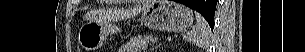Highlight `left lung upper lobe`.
I'll return each instance as SVG.
<instances>
[{
    "instance_id": "1",
    "label": "left lung upper lobe",
    "mask_w": 305,
    "mask_h": 52,
    "mask_svg": "<svg viewBox=\"0 0 305 52\" xmlns=\"http://www.w3.org/2000/svg\"><path fill=\"white\" fill-rule=\"evenodd\" d=\"M214 13L215 12H213V13L207 12V13L203 14L204 18L207 20L209 25H214Z\"/></svg>"
}]
</instances>
